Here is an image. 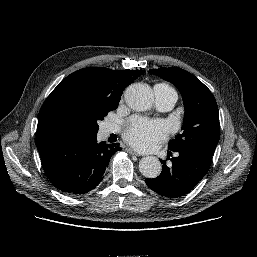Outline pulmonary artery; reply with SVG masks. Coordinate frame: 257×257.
Instances as JSON below:
<instances>
[{"label":"pulmonary artery","instance_id":"pulmonary-artery-1","mask_svg":"<svg viewBox=\"0 0 257 257\" xmlns=\"http://www.w3.org/2000/svg\"><path fill=\"white\" fill-rule=\"evenodd\" d=\"M156 107L160 111L171 110L176 103V94L172 91L166 90L163 87L156 85L154 87ZM108 131H114L112 127H108Z\"/></svg>","mask_w":257,"mask_h":257}]
</instances>
